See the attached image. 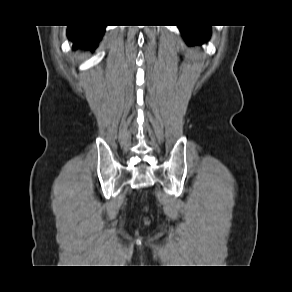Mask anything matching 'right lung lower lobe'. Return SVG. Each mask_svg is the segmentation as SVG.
Wrapping results in <instances>:
<instances>
[{"label":"right lung lower lobe","mask_w":292,"mask_h":292,"mask_svg":"<svg viewBox=\"0 0 292 292\" xmlns=\"http://www.w3.org/2000/svg\"><path fill=\"white\" fill-rule=\"evenodd\" d=\"M106 26L82 25L71 26L68 29V36L73 41L74 48L94 49L97 46Z\"/></svg>","instance_id":"98d812e1"}]
</instances>
